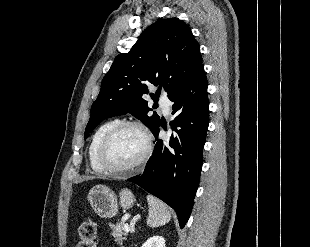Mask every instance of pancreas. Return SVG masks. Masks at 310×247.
I'll use <instances>...</instances> for the list:
<instances>
[{
    "label": "pancreas",
    "instance_id": "1",
    "mask_svg": "<svg viewBox=\"0 0 310 247\" xmlns=\"http://www.w3.org/2000/svg\"><path fill=\"white\" fill-rule=\"evenodd\" d=\"M123 226L124 224L119 222L116 225L113 226L112 228V236L114 237V241L119 244L122 245L123 241L126 239L124 236L126 235V233L123 232Z\"/></svg>",
    "mask_w": 310,
    "mask_h": 247
}]
</instances>
